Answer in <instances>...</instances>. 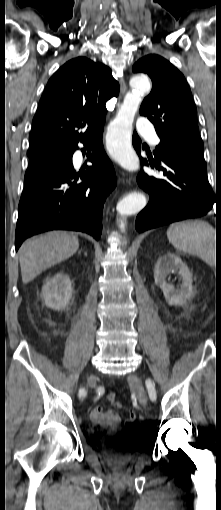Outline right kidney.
<instances>
[{
  "label": "right kidney",
  "instance_id": "1",
  "mask_svg": "<svg viewBox=\"0 0 221 510\" xmlns=\"http://www.w3.org/2000/svg\"><path fill=\"white\" fill-rule=\"evenodd\" d=\"M73 293L70 278L62 272L48 278L41 291L45 304L55 310H65Z\"/></svg>",
  "mask_w": 221,
  "mask_h": 510
}]
</instances>
